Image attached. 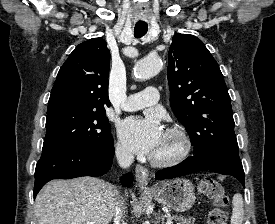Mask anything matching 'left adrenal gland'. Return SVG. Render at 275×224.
<instances>
[{"label":"left adrenal gland","mask_w":275,"mask_h":224,"mask_svg":"<svg viewBox=\"0 0 275 224\" xmlns=\"http://www.w3.org/2000/svg\"><path fill=\"white\" fill-rule=\"evenodd\" d=\"M162 221H163L162 224H164V217L162 218Z\"/></svg>","instance_id":"left-adrenal-gland-1"}]
</instances>
